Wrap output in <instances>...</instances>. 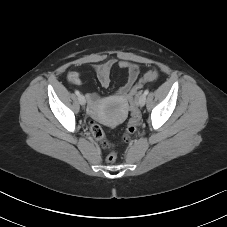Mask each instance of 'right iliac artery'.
<instances>
[{
	"instance_id": "obj_1",
	"label": "right iliac artery",
	"mask_w": 227,
	"mask_h": 227,
	"mask_svg": "<svg viewBox=\"0 0 227 227\" xmlns=\"http://www.w3.org/2000/svg\"><path fill=\"white\" fill-rule=\"evenodd\" d=\"M75 94H76L77 96H79V95H80V92H79L78 90H76V91H75Z\"/></svg>"
}]
</instances>
